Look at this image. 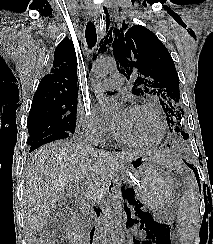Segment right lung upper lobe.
Masks as SVG:
<instances>
[{"label": "right lung upper lobe", "mask_w": 213, "mask_h": 244, "mask_svg": "<svg viewBox=\"0 0 213 244\" xmlns=\"http://www.w3.org/2000/svg\"><path fill=\"white\" fill-rule=\"evenodd\" d=\"M77 59L72 40L65 37L56 47L50 74L39 83L33 99L78 97Z\"/></svg>", "instance_id": "obj_1"}]
</instances>
